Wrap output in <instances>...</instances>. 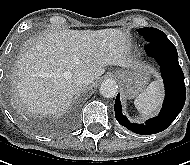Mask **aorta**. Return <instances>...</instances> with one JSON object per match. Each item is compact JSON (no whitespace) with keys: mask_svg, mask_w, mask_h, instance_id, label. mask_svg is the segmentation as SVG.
Instances as JSON below:
<instances>
[{"mask_svg":"<svg viewBox=\"0 0 190 165\" xmlns=\"http://www.w3.org/2000/svg\"><path fill=\"white\" fill-rule=\"evenodd\" d=\"M118 91L116 82L112 79L104 80L100 86V93L106 98H113Z\"/></svg>","mask_w":190,"mask_h":165,"instance_id":"762f6f07","label":"aorta"}]
</instances>
